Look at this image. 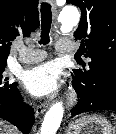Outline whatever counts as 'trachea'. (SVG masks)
<instances>
[{
  "instance_id": "3493384b",
  "label": "trachea",
  "mask_w": 116,
  "mask_h": 134,
  "mask_svg": "<svg viewBox=\"0 0 116 134\" xmlns=\"http://www.w3.org/2000/svg\"><path fill=\"white\" fill-rule=\"evenodd\" d=\"M52 23L51 6L49 3L41 4V36L39 44L46 45L50 42V29Z\"/></svg>"
}]
</instances>
